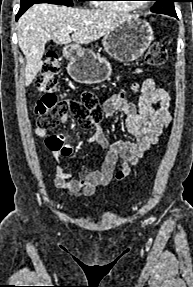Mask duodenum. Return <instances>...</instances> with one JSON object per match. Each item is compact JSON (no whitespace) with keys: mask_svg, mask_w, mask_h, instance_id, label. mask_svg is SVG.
<instances>
[{"mask_svg":"<svg viewBox=\"0 0 193 287\" xmlns=\"http://www.w3.org/2000/svg\"><path fill=\"white\" fill-rule=\"evenodd\" d=\"M74 53H75V52H74V50H72V49H67V50H66V55L69 56V57L73 56Z\"/></svg>","mask_w":193,"mask_h":287,"instance_id":"1","label":"duodenum"}]
</instances>
